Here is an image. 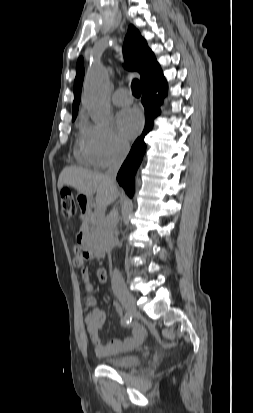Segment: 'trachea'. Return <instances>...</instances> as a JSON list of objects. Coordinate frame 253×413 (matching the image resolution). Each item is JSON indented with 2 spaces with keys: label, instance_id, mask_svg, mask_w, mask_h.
Returning a JSON list of instances; mask_svg holds the SVG:
<instances>
[{
  "label": "trachea",
  "instance_id": "3493384b",
  "mask_svg": "<svg viewBox=\"0 0 253 413\" xmlns=\"http://www.w3.org/2000/svg\"><path fill=\"white\" fill-rule=\"evenodd\" d=\"M132 88V93L135 97H140L141 96V84L139 80L134 79L131 84Z\"/></svg>",
  "mask_w": 253,
  "mask_h": 413
}]
</instances>
